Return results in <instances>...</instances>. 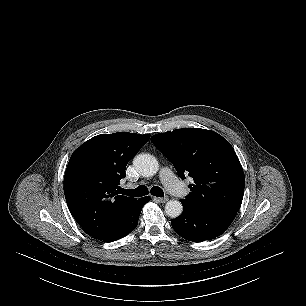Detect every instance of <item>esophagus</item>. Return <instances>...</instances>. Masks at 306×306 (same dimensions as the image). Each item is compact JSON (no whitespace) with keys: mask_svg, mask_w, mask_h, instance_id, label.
I'll return each mask as SVG.
<instances>
[{"mask_svg":"<svg viewBox=\"0 0 306 306\" xmlns=\"http://www.w3.org/2000/svg\"><path fill=\"white\" fill-rule=\"evenodd\" d=\"M154 200L159 202V203H166L169 200V198L168 197H163V198L154 197Z\"/></svg>","mask_w":306,"mask_h":306,"instance_id":"esophagus-1","label":"esophagus"}]
</instances>
